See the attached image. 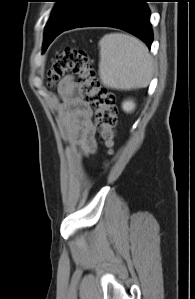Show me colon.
Returning <instances> with one entry per match:
<instances>
[{
    "label": "colon",
    "mask_w": 195,
    "mask_h": 299,
    "mask_svg": "<svg viewBox=\"0 0 195 299\" xmlns=\"http://www.w3.org/2000/svg\"><path fill=\"white\" fill-rule=\"evenodd\" d=\"M69 72L77 75L82 92L95 109L99 136L110 152L115 143L118 122L115 95L101 86L84 50L67 48L58 52L48 70L47 79L54 84Z\"/></svg>",
    "instance_id": "1"
}]
</instances>
